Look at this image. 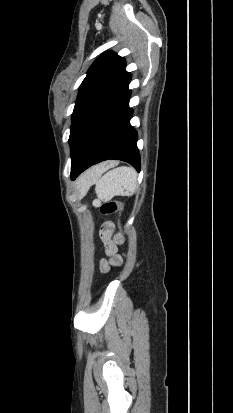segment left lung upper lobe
<instances>
[{
	"label": "left lung upper lobe",
	"instance_id": "left-lung-upper-lobe-1",
	"mask_svg": "<svg viewBox=\"0 0 233 413\" xmlns=\"http://www.w3.org/2000/svg\"><path fill=\"white\" fill-rule=\"evenodd\" d=\"M124 58L113 52L98 57L83 80L72 114L69 137L71 159L92 120L110 102L130 73L125 70Z\"/></svg>",
	"mask_w": 233,
	"mask_h": 413
}]
</instances>
